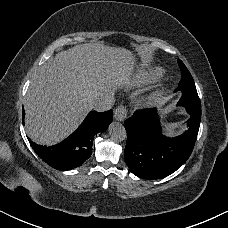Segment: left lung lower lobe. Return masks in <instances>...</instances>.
Segmentation results:
<instances>
[{
    "instance_id": "obj_1",
    "label": "left lung lower lobe",
    "mask_w": 228,
    "mask_h": 228,
    "mask_svg": "<svg viewBox=\"0 0 228 228\" xmlns=\"http://www.w3.org/2000/svg\"><path fill=\"white\" fill-rule=\"evenodd\" d=\"M195 102L186 107L189 129L169 138L162 134L156 109L138 110L124 122L127 131L125 161L130 171L143 179L164 178L181 167L192 153L198 135L201 109Z\"/></svg>"
}]
</instances>
